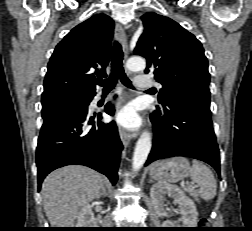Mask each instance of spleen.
I'll return each mask as SVG.
<instances>
[{"label": "spleen", "instance_id": "spleen-1", "mask_svg": "<svg viewBox=\"0 0 252 231\" xmlns=\"http://www.w3.org/2000/svg\"><path fill=\"white\" fill-rule=\"evenodd\" d=\"M191 179L199 185L198 194L206 201L216 195L217 183L211 170L203 163L194 160L191 169Z\"/></svg>", "mask_w": 252, "mask_h": 231}]
</instances>
